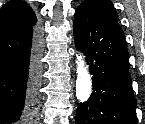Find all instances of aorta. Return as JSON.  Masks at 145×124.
I'll return each mask as SVG.
<instances>
[{
	"instance_id": "obj_1",
	"label": "aorta",
	"mask_w": 145,
	"mask_h": 124,
	"mask_svg": "<svg viewBox=\"0 0 145 124\" xmlns=\"http://www.w3.org/2000/svg\"><path fill=\"white\" fill-rule=\"evenodd\" d=\"M76 96L80 102H86L92 92V79L82 56H77Z\"/></svg>"
}]
</instances>
